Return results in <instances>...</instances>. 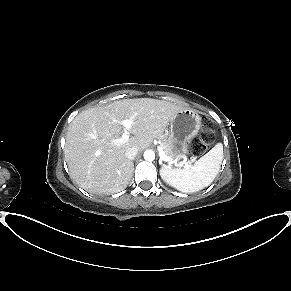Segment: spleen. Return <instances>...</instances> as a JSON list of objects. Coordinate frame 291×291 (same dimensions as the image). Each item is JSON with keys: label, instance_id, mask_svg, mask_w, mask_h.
Segmentation results:
<instances>
[{"label": "spleen", "instance_id": "spleen-1", "mask_svg": "<svg viewBox=\"0 0 291 291\" xmlns=\"http://www.w3.org/2000/svg\"><path fill=\"white\" fill-rule=\"evenodd\" d=\"M223 159V145L216 144L194 165L177 169H161L164 181L181 192L192 193L208 187L216 178Z\"/></svg>", "mask_w": 291, "mask_h": 291}]
</instances>
